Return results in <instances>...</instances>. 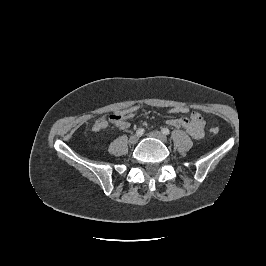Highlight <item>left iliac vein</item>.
<instances>
[{"instance_id":"left-iliac-vein-1","label":"left iliac vein","mask_w":266,"mask_h":266,"mask_svg":"<svg viewBox=\"0 0 266 266\" xmlns=\"http://www.w3.org/2000/svg\"><path fill=\"white\" fill-rule=\"evenodd\" d=\"M149 137L156 138L164 143L167 142V137L159 131H152L148 134Z\"/></svg>"}]
</instances>
